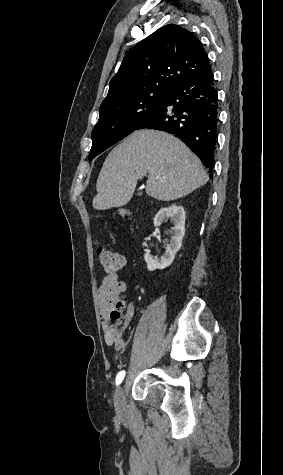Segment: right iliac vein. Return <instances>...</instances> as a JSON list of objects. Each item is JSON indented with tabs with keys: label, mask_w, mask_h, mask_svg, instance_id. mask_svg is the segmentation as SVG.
Listing matches in <instances>:
<instances>
[{
	"label": "right iliac vein",
	"mask_w": 283,
	"mask_h": 475,
	"mask_svg": "<svg viewBox=\"0 0 283 475\" xmlns=\"http://www.w3.org/2000/svg\"><path fill=\"white\" fill-rule=\"evenodd\" d=\"M115 406L119 417L123 416L125 410L124 390L120 386L115 393Z\"/></svg>",
	"instance_id": "63e3f726"
}]
</instances>
